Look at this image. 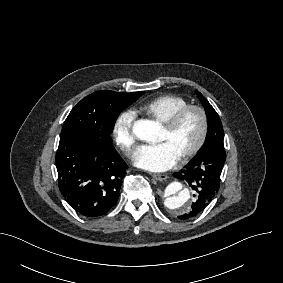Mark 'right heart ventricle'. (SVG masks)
I'll list each match as a JSON object with an SVG mask.
<instances>
[{"instance_id":"1","label":"right heart ventricle","mask_w":283,"mask_h":283,"mask_svg":"<svg viewBox=\"0 0 283 283\" xmlns=\"http://www.w3.org/2000/svg\"><path fill=\"white\" fill-rule=\"evenodd\" d=\"M187 105L189 102L184 97L165 94L139 102L133 107V110L137 115L163 123L170 114Z\"/></svg>"}]
</instances>
